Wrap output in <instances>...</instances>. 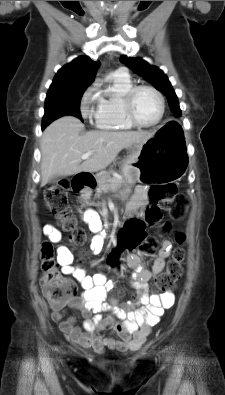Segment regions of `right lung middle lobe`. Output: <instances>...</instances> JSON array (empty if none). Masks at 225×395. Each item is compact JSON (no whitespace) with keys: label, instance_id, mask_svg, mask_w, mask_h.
Segmentation results:
<instances>
[{"label":"right lung middle lobe","instance_id":"obj_1","mask_svg":"<svg viewBox=\"0 0 225 395\" xmlns=\"http://www.w3.org/2000/svg\"><path fill=\"white\" fill-rule=\"evenodd\" d=\"M86 88L84 86L50 87L45 100L42 129L55 119L65 115H73L82 120L80 100Z\"/></svg>","mask_w":225,"mask_h":395}]
</instances>
